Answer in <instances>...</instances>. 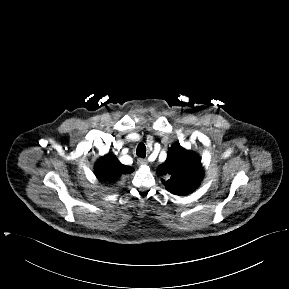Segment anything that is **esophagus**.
I'll return each instance as SVG.
<instances>
[{
    "mask_svg": "<svg viewBox=\"0 0 289 289\" xmlns=\"http://www.w3.org/2000/svg\"><path fill=\"white\" fill-rule=\"evenodd\" d=\"M137 164H138L139 166H144V165H147L148 162H147L146 159L139 158V159L137 160Z\"/></svg>",
    "mask_w": 289,
    "mask_h": 289,
    "instance_id": "1",
    "label": "esophagus"
}]
</instances>
